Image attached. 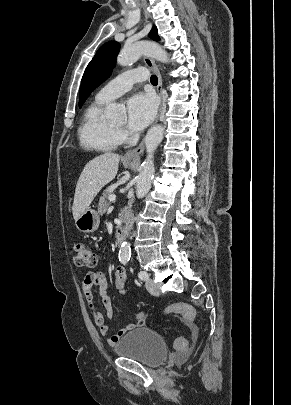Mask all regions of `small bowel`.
I'll return each mask as SVG.
<instances>
[{
    "label": "small bowel",
    "mask_w": 291,
    "mask_h": 405,
    "mask_svg": "<svg viewBox=\"0 0 291 405\" xmlns=\"http://www.w3.org/2000/svg\"><path fill=\"white\" fill-rule=\"evenodd\" d=\"M94 288L97 289L98 295L102 300L105 308V315L108 319L113 318L114 309L111 298L107 293L108 278L104 271H93L85 274L81 280V289L87 301L88 309L92 316L94 324L98 327L99 333L105 337L108 345H115L124 335L134 328L144 323V315L142 313L136 316L135 322L129 324L126 328L120 329L114 334H109V327L101 312H99L94 301Z\"/></svg>",
    "instance_id": "1"
}]
</instances>
